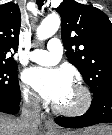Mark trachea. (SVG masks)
<instances>
[{"instance_id": "obj_1", "label": "trachea", "mask_w": 112, "mask_h": 135, "mask_svg": "<svg viewBox=\"0 0 112 135\" xmlns=\"http://www.w3.org/2000/svg\"><path fill=\"white\" fill-rule=\"evenodd\" d=\"M44 0H37V5L38 8L41 9V7L43 6Z\"/></svg>"}]
</instances>
